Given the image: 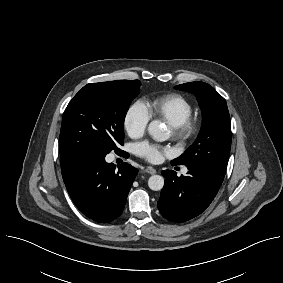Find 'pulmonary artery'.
Wrapping results in <instances>:
<instances>
[{"label": "pulmonary artery", "instance_id": "pulmonary-artery-1", "mask_svg": "<svg viewBox=\"0 0 283 283\" xmlns=\"http://www.w3.org/2000/svg\"><path fill=\"white\" fill-rule=\"evenodd\" d=\"M182 172L185 174V173L187 172V169H186V168H184Z\"/></svg>", "mask_w": 283, "mask_h": 283}]
</instances>
